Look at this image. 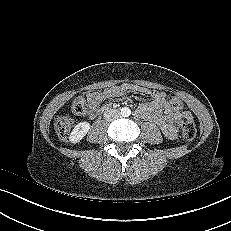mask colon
<instances>
[{
  "instance_id": "obj_1",
  "label": "colon",
  "mask_w": 231,
  "mask_h": 231,
  "mask_svg": "<svg viewBox=\"0 0 231 231\" xmlns=\"http://www.w3.org/2000/svg\"><path fill=\"white\" fill-rule=\"evenodd\" d=\"M169 101L174 109L181 110L183 108V103L179 98L173 97ZM72 110L77 114L85 113L87 110V105L84 99H75L72 103ZM72 124L73 120L70 116L65 114L58 115L54 120V129L56 134L60 138H66L72 127ZM196 131V125L193 120L187 119L182 122L181 134L185 140H193L196 136Z\"/></svg>"
}]
</instances>
